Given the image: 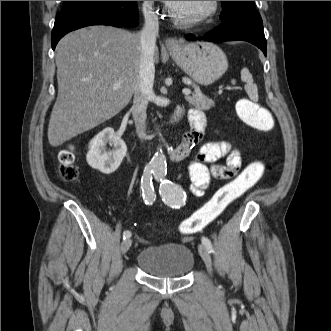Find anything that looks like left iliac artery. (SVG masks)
I'll return each instance as SVG.
<instances>
[{
	"label": "left iliac artery",
	"mask_w": 331,
	"mask_h": 331,
	"mask_svg": "<svg viewBox=\"0 0 331 331\" xmlns=\"http://www.w3.org/2000/svg\"><path fill=\"white\" fill-rule=\"evenodd\" d=\"M167 171L165 170H156L154 176L157 181H160V194L161 197L167 205L171 206L172 208L178 209L180 206L185 204L186 201V193L183 189L174 184L173 182L167 180L165 178ZM202 244L206 246L207 250L212 253L213 247L211 241L206 238L202 237L201 239Z\"/></svg>",
	"instance_id": "obj_1"
}]
</instances>
